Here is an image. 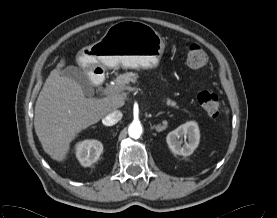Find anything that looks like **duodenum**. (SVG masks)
Segmentation results:
<instances>
[{
	"mask_svg": "<svg viewBox=\"0 0 277 218\" xmlns=\"http://www.w3.org/2000/svg\"><path fill=\"white\" fill-rule=\"evenodd\" d=\"M104 77V72L99 69H94L90 74V81L94 87H98L102 83V79Z\"/></svg>",
	"mask_w": 277,
	"mask_h": 218,
	"instance_id": "duodenum-1",
	"label": "duodenum"
}]
</instances>
